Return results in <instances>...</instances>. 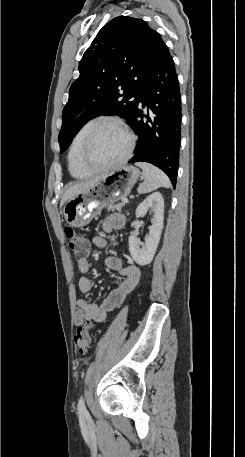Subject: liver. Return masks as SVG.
<instances>
[{
    "instance_id": "liver-1",
    "label": "liver",
    "mask_w": 245,
    "mask_h": 457,
    "mask_svg": "<svg viewBox=\"0 0 245 457\" xmlns=\"http://www.w3.org/2000/svg\"><path fill=\"white\" fill-rule=\"evenodd\" d=\"M101 178H104V174H102V176H96V178H91V180H85V182H77V184H73V186L67 188L66 192H64L61 198L60 206H63L66 200L73 198V196H76V194H79V192H83L85 188H89V186H92L94 182H98V180H101Z\"/></svg>"
}]
</instances>
